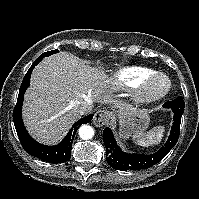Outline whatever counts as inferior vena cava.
<instances>
[{"label":"inferior vena cava","instance_id":"1","mask_svg":"<svg viewBox=\"0 0 199 199\" xmlns=\"http://www.w3.org/2000/svg\"><path fill=\"white\" fill-rule=\"evenodd\" d=\"M90 110H91L90 105L86 103H83L77 107V111L79 112L80 115H83Z\"/></svg>","mask_w":199,"mask_h":199}]
</instances>
